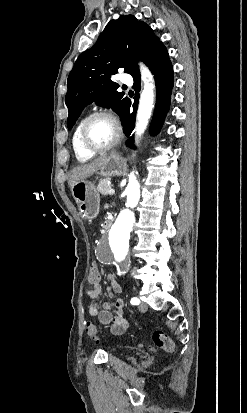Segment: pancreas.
<instances>
[{
  "instance_id": "obj_1",
  "label": "pancreas",
  "mask_w": 247,
  "mask_h": 413,
  "mask_svg": "<svg viewBox=\"0 0 247 413\" xmlns=\"http://www.w3.org/2000/svg\"><path fill=\"white\" fill-rule=\"evenodd\" d=\"M112 184H108V178H102L99 180L97 190L101 192V194H108V190H110Z\"/></svg>"
}]
</instances>
